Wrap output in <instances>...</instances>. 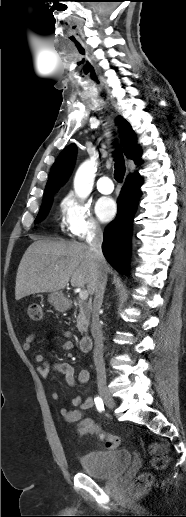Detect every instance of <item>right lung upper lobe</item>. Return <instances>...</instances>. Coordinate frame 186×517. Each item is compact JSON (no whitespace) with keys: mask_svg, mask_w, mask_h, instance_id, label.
I'll return each mask as SVG.
<instances>
[{"mask_svg":"<svg viewBox=\"0 0 186 517\" xmlns=\"http://www.w3.org/2000/svg\"><path fill=\"white\" fill-rule=\"evenodd\" d=\"M118 130L127 158L134 159L138 163L141 157L140 149L137 146L136 135L130 124L119 117L117 119ZM76 157V146H67L58 156L53 164L48 182L46 184L44 197L52 192H57L66 179L70 176Z\"/></svg>","mask_w":186,"mask_h":517,"instance_id":"cb5924a9","label":"right lung upper lobe"}]
</instances>
